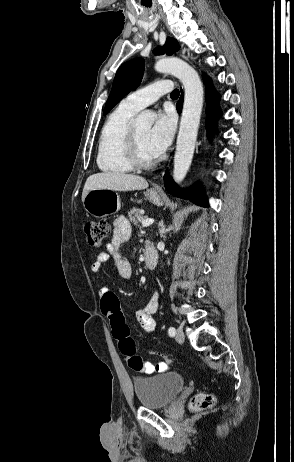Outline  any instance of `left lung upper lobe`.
Masks as SVG:
<instances>
[{
  "label": "left lung upper lobe",
  "mask_w": 294,
  "mask_h": 462,
  "mask_svg": "<svg viewBox=\"0 0 294 462\" xmlns=\"http://www.w3.org/2000/svg\"><path fill=\"white\" fill-rule=\"evenodd\" d=\"M179 45L173 38H168L163 47L155 49V54H173L179 50ZM145 62L135 58L125 62L116 72L109 98L105 104L104 115L107 114L125 95L136 90L142 80Z\"/></svg>",
  "instance_id": "left-lung-upper-lobe-1"
}]
</instances>
